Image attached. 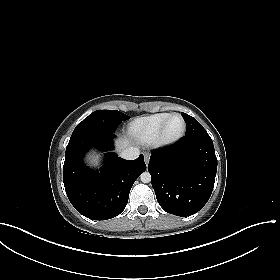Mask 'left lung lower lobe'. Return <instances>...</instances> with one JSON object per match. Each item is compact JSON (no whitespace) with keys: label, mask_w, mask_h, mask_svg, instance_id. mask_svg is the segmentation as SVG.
<instances>
[{"label":"left lung lower lobe","mask_w":280,"mask_h":280,"mask_svg":"<svg viewBox=\"0 0 280 280\" xmlns=\"http://www.w3.org/2000/svg\"><path fill=\"white\" fill-rule=\"evenodd\" d=\"M160 206L177 216L198 212L209 200L217 158L208 134L185 136L178 143L151 152L148 164Z\"/></svg>","instance_id":"1"}]
</instances>
